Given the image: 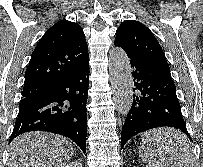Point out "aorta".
Here are the masks:
<instances>
[{
    "label": "aorta",
    "instance_id": "1",
    "mask_svg": "<svg viewBox=\"0 0 203 167\" xmlns=\"http://www.w3.org/2000/svg\"><path fill=\"white\" fill-rule=\"evenodd\" d=\"M109 73L116 107L122 115H127L133 103V79L129 58L120 47L109 52Z\"/></svg>",
    "mask_w": 203,
    "mask_h": 167
}]
</instances>
